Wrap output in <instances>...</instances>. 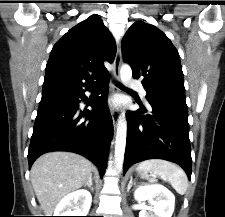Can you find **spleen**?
Wrapping results in <instances>:
<instances>
[{
  "mask_svg": "<svg viewBox=\"0 0 225 217\" xmlns=\"http://www.w3.org/2000/svg\"><path fill=\"white\" fill-rule=\"evenodd\" d=\"M136 171L144 177L148 173L161 176L167 180L180 195L185 194L188 188V178L182 168L178 165L162 159H150L139 163ZM152 180L154 178H151Z\"/></svg>",
  "mask_w": 225,
  "mask_h": 217,
  "instance_id": "obj_1",
  "label": "spleen"
}]
</instances>
